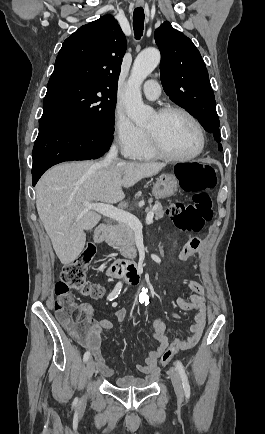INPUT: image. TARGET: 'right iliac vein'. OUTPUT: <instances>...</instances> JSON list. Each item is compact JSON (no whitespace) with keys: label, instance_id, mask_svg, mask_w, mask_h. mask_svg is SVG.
Segmentation results:
<instances>
[{"label":"right iliac vein","instance_id":"63e3f726","mask_svg":"<svg viewBox=\"0 0 265 434\" xmlns=\"http://www.w3.org/2000/svg\"><path fill=\"white\" fill-rule=\"evenodd\" d=\"M94 372H95V363H94L93 359L91 358L88 360V362L86 364L87 379H90L92 377V375L94 374ZM84 404H85V402L82 403V405H84Z\"/></svg>","mask_w":265,"mask_h":434}]
</instances>
